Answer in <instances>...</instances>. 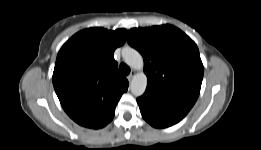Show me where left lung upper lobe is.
<instances>
[{
	"label": "left lung upper lobe",
	"mask_w": 261,
	"mask_h": 150,
	"mask_svg": "<svg viewBox=\"0 0 261 150\" xmlns=\"http://www.w3.org/2000/svg\"><path fill=\"white\" fill-rule=\"evenodd\" d=\"M127 40L144 59L148 79L144 95L192 108L199 96L204 72L195 42L172 25L133 28Z\"/></svg>",
	"instance_id": "5c2ea615"
}]
</instances>
